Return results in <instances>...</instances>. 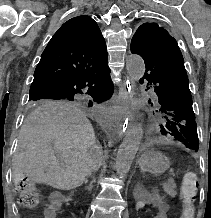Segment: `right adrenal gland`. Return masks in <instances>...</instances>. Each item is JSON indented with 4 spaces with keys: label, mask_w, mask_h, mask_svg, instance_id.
<instances>
[{
    "label": "right adrenal gland",
    "mask_w": 211,
    "mask_h": 218,
    "mask_svg": "<svg viewBox=\"0 0 211 218\" xmlns=\"http://www.w3.org/2000/svg\"><path fill=\"white\" fill-rule=\"evenodd\" d=\"M95 180H92V182H90L89 186H86L85 190H87V192H92V188H93V184H94Z\"/></svg>",
    "instance_id": "obj_1"
}]
</instances>
